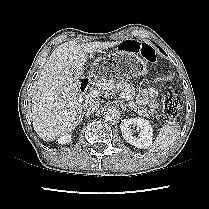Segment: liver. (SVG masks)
Masks as SVG:
<instances>
[{"label": "liver", "instance_id": "1", "mask_svg": "<svg viewBox=\"0 0 209 209\" xmlns=\"http://www.w3.org/2000/svg\"><path fill=\"white\" fill-rule=\"evenodd\" d=\"M115 42L69 41L58 46L46 61L32 96L33 127L44 141L69 134L81 122L83 98L77 78L84 74L85 53L100 52Z\"/></svg>", "mask_w": 209, "mask_h": 209}]
</instances>
